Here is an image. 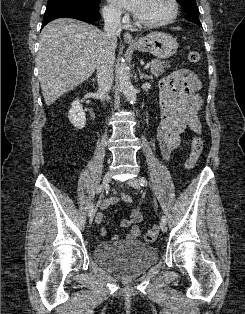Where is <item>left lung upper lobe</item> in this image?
<instances>
[{"mask_svg":"<svg viewBox=\"0 0 245 314\" xmlns=\"http://www.w3.org/2000/svg\"><path fill=\"white\" fill-rule=\"evenodd\" d=\"M177 1L185 10L187 20L202 26L199 20V9L197 7L196 0H177Z\"/></svg>","mask_w":245,"mask_h":314,"instance_id":"5c2ea615","label":"left lung upper lobe"}]
</instances>
